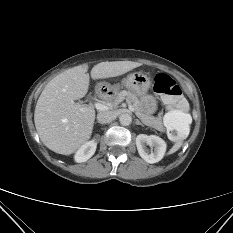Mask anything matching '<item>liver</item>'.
<instances>
[{
	"label": "liver",
	"instance_id": "6515ba94",
	"mask_svg": "<svg viewBox=\"0 0 233 233\" xmlns=\"http://www.w3.org/2000/svg\"><path fill=\"white\" fill-rule=\"evenodd\" d=\"M141 66L132 61L101 62L91 78L116 77ZM88 65L70 68L54 77L43 89L35 108L34 122L42 143L50 150L70 155L91 137L95 121L93 107L75 102L89 89Z\"/></svg>",
	"mask_w": 233,
	"mask_h": 233
}]
</instances>
